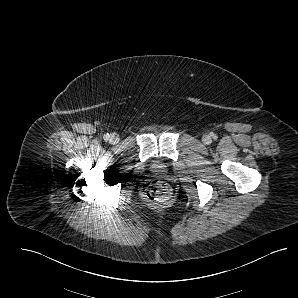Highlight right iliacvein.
<instances>
[{
    "label": "right iliac vein",
    "instance_id": "63e3f726",
    "mask_svg": "<svg viewBox=\"0 0 298 298\" xmlns=\"http://www.w3.org/2000/svg\"><path fill=\"white\" fill-rule=\"evenodd\" d=\"M109 142L110 143H113V144H115V143H117L118 141H119V136L117 135V134H110L109 135Z\"/></svg>",
    "mask_w": 298,
    "mask_h": 298
}]
</instances>
